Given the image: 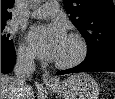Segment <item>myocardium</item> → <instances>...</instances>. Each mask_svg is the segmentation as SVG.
<instances>
[{"mask_svg":"<svg viewBox=\"0 0 115 99\" xmlns=\"http://www.w3.org/2000/svg\"><path fill=\"white\" fill-rule=\"evenodd\" d=\"M67 38H69L70 40L74 41L77 44L78 50L75 56H73L69 60H62V61L56 60L55 65L58 68H64V69L72 68L81 64L86 59L89 52L87 41L81 34L70 33L68 34Z\"/></svg>","mask_w":115,"mask_h":99,"instance_id":"obj_1","label":"myocardium"}]
</instances>
